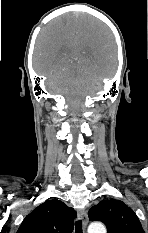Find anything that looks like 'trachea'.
<instances>
[{
    "label": "trachea",
    "instance_id": "obj_1",
    "mask_svg": "<svg viewBox=\"0 0 148 233\" xmlns=\"http://www.w3.org/2000/svg\"><path fill=\"white\" fill-rule=\"evenodd\" d=\"M75 233H83L81 220L75 222Z\"/></svg>",
    "mask_w": 148,
    "mask_h": 233
}]
</instances>
